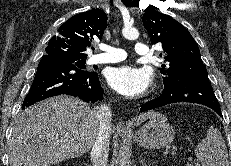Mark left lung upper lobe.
I'll return each mask as SVG.
<instances>
[{"mask_svg":"<svg viewBox=\"0 0 231 166\" xmlns=\"http://www.w3.org/2000/svg\"><path fill=\"white\" fill-rule=\"evenodd\" d=\"M143 25L152 44L161 43L167 65H162L164 86L179 80L209 81L200 50L188 30L172 17L155 10L143 14Z\"/></svg>","mask_w":231,"mask_h":166,"instance_id":"1","label":"left lung upper lobe"}]
</instances>
